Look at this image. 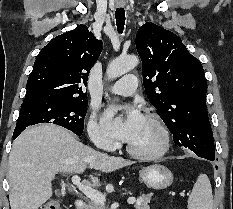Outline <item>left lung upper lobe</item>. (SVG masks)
<instances>
[{"label": "left lung upper lobe", "instance_id": "5c2ea615", "mask_svg": "<svg viewBox=\"0 0 233 209\" xmlns=\"http://www.w3.org/2000/svg\"><path fill=\"white\" fill-rule=\"evenodd\" d=\"M136 47L143 84L175 144L214 159V140L206 106L207 83L200 61L171 31L147 22L138 29Z\"/></svg>", "mask_w": 233, "mask_h": 209}]
</instances>
